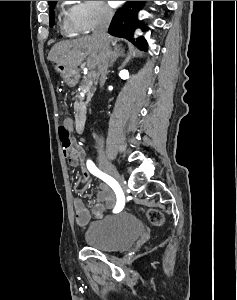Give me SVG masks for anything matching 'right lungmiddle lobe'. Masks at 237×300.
I'll return each mask as SVG.
<instances>
[{"label": "right lung middle lobe", "mask_w": 237, "mask_h": 300, "mask_svg": "<svg viewBox=\"0 0 237 300\" xmlns=\"http://www.w3.org/2000/svg\"><path fill=\"white\" fill-rule=\"evenodd\" d=\"M57 1H53L49 4V13H50V27L54 25V7L56 5Z\"/></svg>", "instance_id": "dd1d6c3e"}]
</instances>
